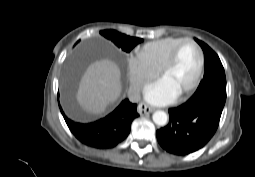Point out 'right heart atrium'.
<instances>
[{
    "label": "right heart atrium",
    "mask_w": 255,
    "mask_h": 177,
    "mask_svg": "<svg viewBox=\"0 0 255 177\" xmlns=\"http://www.w3.org/2000/svg\"><path fill=\"white\" fill-rule=\"evenodd\" d=\"M128 74L133 93L138 94L152 79L158 70L148 64L138 54L130 57L128 62Z\"/></svg>",
    "instance_id": "obj_1"
}]
</instances>
